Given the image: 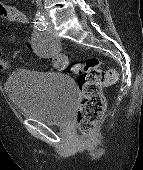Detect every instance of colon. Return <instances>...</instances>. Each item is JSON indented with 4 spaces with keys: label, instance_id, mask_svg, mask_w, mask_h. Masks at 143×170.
<instances>
[{
    "label": "colon",
    "instance_id": "colon-1",
    "mask_svg": "<svg viewBox=\"0 0 143 170\" xmlns=\"http://www.w3.org/2000/svg\"><path fill=\"white\" fill-rule=\"evenodd\" d=\"M61 70L66 68V61L58 57ZM70 73L78 76V86L82 101L78 111L77 123L82 135H87L102 119L106 102L102 88L115 84L118 74L113 68H103L98 58H90L70 68Z\"/></svg>",
    "mask_w": 143,
    "mask_h": 170
}]
</instances>
